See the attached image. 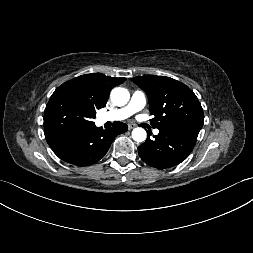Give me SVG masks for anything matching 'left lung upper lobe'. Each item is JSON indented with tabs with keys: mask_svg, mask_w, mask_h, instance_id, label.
<instances>
[{
	"mask_svg": "<svg viewBox=\"0 0 253 253\" xmlns=\"http://www.w3.org/2000/svg\"><path fill=\"white\" fill-rule=\"evenodd\" d=\"M149 100L151 123L159 130L198 134L204 114L194 92L183 83L166 76H137L131 79Z\"/></svg>",
	"mask_w": 253,
	"mask_h": 253,
	"instance_id": "obj_1",
	"label": "left lung upper lobe"
}]
</instances>
